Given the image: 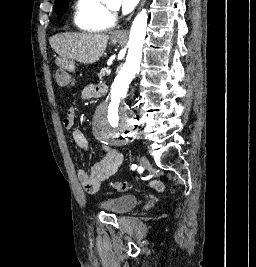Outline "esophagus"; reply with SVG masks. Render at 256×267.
<instances>
[{"instance_id": "esophagus-1", "label": "esophagus", "mask_w": 256, "mask_h": 267, "mask_svg": "<svg viewBox=\"0 0 256 267\" xmlns=\"http://www.w3.org/2000/svg\"><path fill=\"white\" fill-rule=\"evenodd\" d=\"M146 0H141L140 8L143 7ZM116 36H126V31H120L116 33Z\"/></svg>"}]
</instances>
